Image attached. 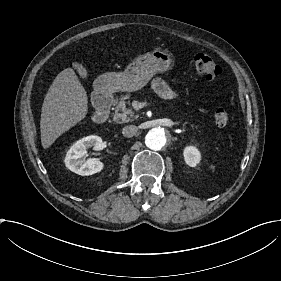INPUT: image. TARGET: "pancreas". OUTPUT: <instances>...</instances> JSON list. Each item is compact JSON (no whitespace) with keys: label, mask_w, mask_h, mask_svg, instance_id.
<instances>
[{"label":"pancreas","mask_w":281,"mask_h":281,"mask_svg":"<svg viewBox=\"0 0 281 281\" xmlns=\"http://www.w3.org/2000/svg\"><path fill=\"white\" fill-rule=\"evenodd\" d=\"M126 99L128 96H122L120 100H114L115 117L114 121L118 124L133 122L137 118L132 108H126Z\"/></svg>","instance_id":"1"}]
</instances>
